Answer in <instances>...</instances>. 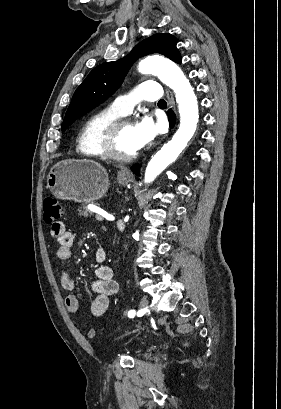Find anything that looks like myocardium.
<instances>
[{"mask_svg":"<svg viewBox=\"0 0 281 409\" xmlns=\"http://www.w3.org/2000/svg\"><path fill=\"white\" fill-rule=\"evenodd\" d=\"M134 123L125 117H118L108 122L102 129L100 134V147L105 156L119 161L127 162L136 159L140 155V149L129 154H122L115 150L113 141L116 132L123 126H132Z\"/></svg>","mask_w":281,"mask_h":409,"instance_id":"myocardium-1","label":"myocardium"}]
</instances>
